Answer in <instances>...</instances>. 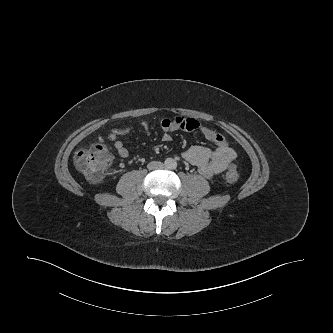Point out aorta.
<instances>
[{"mask_svg": "<svg viewBox=\"0 0 333 333\" xmlns=\"http://www.w3.org/2000/svg\"><path fill=\"white\" fill-rule=\"evenodd\" d=\"M165 166L167 169H175L177 167V163L174 159L168 158L165 161Z\"/></svg>", "mask_w": 333, "mask_h": 333, "instance_id": "aorta-1", "label": "aorta"}]
</instances>
